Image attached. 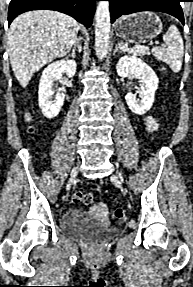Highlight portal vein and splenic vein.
Here are the masks:
<instances>
[{
	"label": "portal vein and splenic vein",
	"instance_id": "obj_1",
	"mask_svg": "<svg viewBox=\"0 0 193 287\" xmlns=\"http://www.w3.org/2000/svg\"><path fill=\"white\" fill-rule=\"evenodd\" d=\"M121 48L125 51H129V52H134L136 50H140V49H146L147 47L145 46H136L134 48H129L127 44H120Z\"/></svg>",
	"mask_w": 193,
	"mask_h": 287
}]
</instances>
